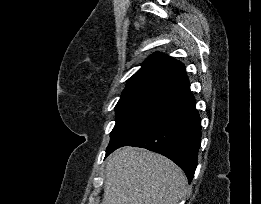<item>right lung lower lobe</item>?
<instances>
[{
	"instance_id": "98d812e1",
	"label": "right lung lower lobe",
	"mask_w": 261,
	"mask_h": 204,
	"mask_svg": "<svg viewBox=\"0 0 261 204\" xmlns=\"http://www.w3.org/2000/svg\"><path fill=\"white\" fill-rule=\"evenodd\" d=\"M190 84L172 91L142 121L128 131L106 156L122 146L142 147L160 153L176 163L189 183L197 166L201 141V119Z\"/></svg>"
}]
</instances>
